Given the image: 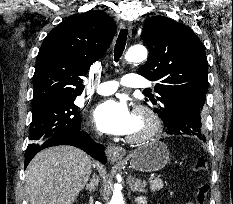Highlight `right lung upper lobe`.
Returning a JSON list of instances; mask_svg holds the SVG:
<instances>
[{"label": "right lung upper lobe", "mask_w": 233, "mask_h": 204, "mask_svg": "<svg viewBox=\"0 0 233 204\" xmlns=\"http://www.w3.org/2000/svg\"><path fill=\"white\" fill-rule=\"evenodd\" d=\"M116 29L101 10L71 16L52 29L37 55L32 105L80 95L81 77L104 55Z\"/></svg>", "instance_id": "cb5924a9"}]
</instances>
